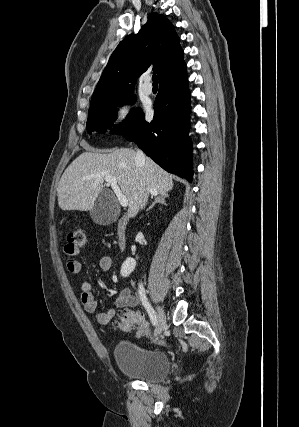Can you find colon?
Segmentation results:
<instances>
[{
  "label": "colon",
  "mask_w": 299,
  "mask_h": 427,
  "mask_svg": "<svg viewBox=\"0 0 299 427\" xmlns=\"http://www.w3.org/2000/svg\"><path fill=\"white\" fill-rule=\"evenodd\" d=\"M86 232L82 228H77L71 231L67 237V245L65 252L69 255L78 253L86 245ZM135 326H141L145 333L149 332V327L142 317L135 312L126 311L120 317L118 328L124 332L131 331Z\"/></svg>",
  "instance_id": "5ec220e1"
}]
</instances>
